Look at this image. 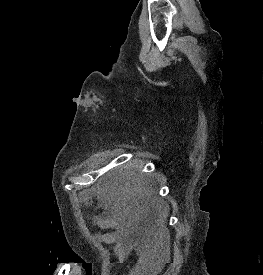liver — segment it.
<instances>
[{
    "instance_id": "1",
    "label": "liver",
    "mask_w": 263,
    "mask_h": 275,
    "mask_svg": "<svg viewBox=\"0 0 263 275\" xmlns=\"http://www.w3.org/2000/svg\"><path fill=\"white\" fill-rule=\"evenodd\" d=\"M98 197H100L105 204L106 207L111 205L112 209L116 211L123 212V219H127L130 221L132 219H137L139 215V209H135L133 206L128 204V187H120L118 189H113L111 193H106L102 188H98L97 190ZM152 205H155L159 213L165 218L169 212V206L165 203L152 202Z\"/></svg>"
}]
</instances>
